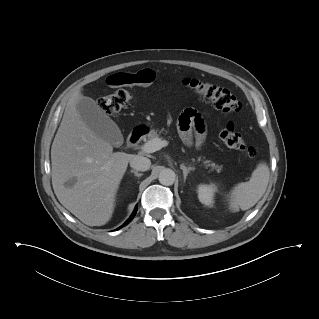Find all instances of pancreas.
<instances>
[{"label":"pancreas","instance_id":"obj_1","mask_svg":"<svg viewBox=\"0 0 319 319\" xmlns=\"http://www.w3.org/2000/svg\"><path fill=\"white\" fill-rule=\"evenodd\" d=\"M161 131L158 133V130H150V132L146 135V137L144 138V140L146 141H150L154 138H159ZM200 160V158H199ZM203 164L205 165V167H212L213 169H220L221 167L216 165L215 163H213L210 160H205L203 161Z\"/></svg>","mask_w":319,"mask_h":319}]
</instances>
